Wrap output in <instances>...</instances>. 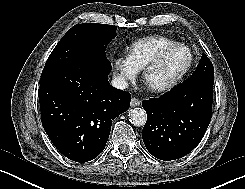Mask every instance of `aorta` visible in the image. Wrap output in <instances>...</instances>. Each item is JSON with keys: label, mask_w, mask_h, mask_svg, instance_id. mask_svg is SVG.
Segmentation results:
<instances>
[{"label": "aorta", "mask_w": 245, "mask_h": 189, "mask_svg": "<svg viewBox=\"0 0 245 189\" xmlns=\"http://www.w3.org/2000/svg\"><path fill=\"white\" fill-rule=\"evenodd\" d=\"M130 122L135 126H144L147 121V114L143 108H132L129 112Z\"/></svg>", "instance_id": "762f6f07"}]
</instances>
